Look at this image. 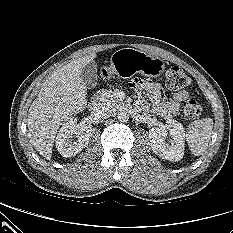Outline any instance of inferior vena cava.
<instances>
[{
  "instance_id": "obj_1",
  "label": "inferior vena cava",
  "mask_w": 233,
  "mask_h": 233,
  "mask_svg": "<svg viewBox=\"0 0 233 233\" xmlns=\"http://www.w3.org/2000/svg\"><path fill=\"white\" fill-rule=\"evenodd\" d=\"M112 113L113 109L105 103L97 104L92 110V115L97 118H108Z\"/></svg>"
}]
</instances>
